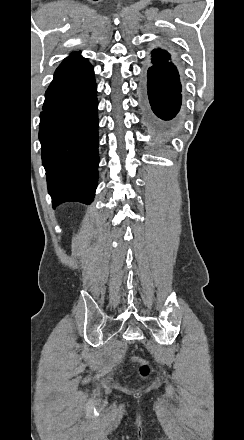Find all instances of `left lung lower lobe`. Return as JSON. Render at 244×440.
<instances>
[{
  "label": "left lung lower lobe",
  "mask_w": 244,
  "mask_h": 440,
  "mask_svg": "<svg viewBox=\"0 0 244 440\" xmlns=\"http://www.w3.org/2000/svg\"><path fill=\"white\" fill-rule=\"evenodd\" d=\"M141 117L147 134L158 143L177 136L181 119V83L172 59H151V65L141 75L138 85Z\"/></svg>",
  "instance_id": "left-lung-lower-lobe-1"
}]
</instances>
